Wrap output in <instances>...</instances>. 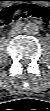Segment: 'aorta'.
Here are the masks:
<instances>
[{
  "label": "aorta",
  "mask_w": 50,
  "mask_h": 111,
  "mask_svg": "<svg viewBox=\"0 0 50 111\" xmlns=\"http://www.w3.org/2000/svg\"><path fill=\"white\" fill-rule=\"evenodd\" d=\"M39 27L37 24L29 22L24 27V32H26L29 35H35L38 33Z\"/></svg>",
  "instance_id": "1"
}]
</instances>
